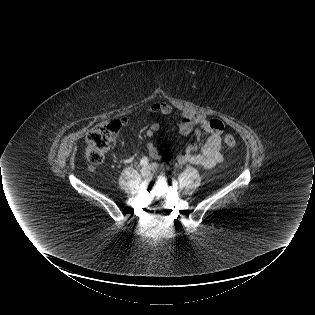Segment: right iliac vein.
<instances>
[{"mask_svg":"<svg viewBox=\"0 0 315 315\" xmlns=\"http://www.w3.org/2000/svg\"><path fill=\"white\" fill-rule=\"evenodd\" d=\"M141 176L143 178H149L151 176L150 168L147 167V166L142 167V169H141Z\"/></svg>","mask_w":315,"mask_h":315,"instance_id":"right-iliac-vein-1","label":"right iliac vein"}]
</instances>
